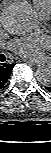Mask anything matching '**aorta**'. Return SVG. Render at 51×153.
Returning <instances> with one entry per match:
<instances>
[{
  "label": "aorta",
  "instance_id": "obj_1",
  "mask_svg": "<svg viewBox=\"0 0 51 153\" xmlns=\"http://www.w3.org/2000/svg\"><path fill=\"white\" fill-rule=\"evenodd\" d=\"M4 28L11 34L28 35L38 27V16L34 7L25 0H19L8 6L3 12ZM36 79L45 86L51 84V66L44 64L35 72Z\"/></svg>",
  "mask_w": 51,
  "mask_h": 153
}]
</instances>
